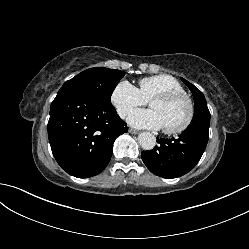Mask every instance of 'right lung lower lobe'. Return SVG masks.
I'll return each instance as SVG.
<instances>
[{
  "instance_id": "98d812e1",
  "label": "right lung lower lobe",
  "mask_w": 249,
  "mask_h": 249,
  "mask_svg": "<svg viewBox=\"0 0 249 249\" xmlns=\"http://www.w3.org/2000/svg\"><path fill=\"white\" fill-rule=\"evenodd\" d=\"M128 131L112 105L74 90H59L50 108L48 136L58 164L70 175L88 178L109 163L115 139Z\"/></svg>"
}]
</instances>
